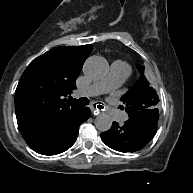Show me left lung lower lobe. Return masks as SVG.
Segmentation results:
<instances>
[{"mask_svg": "<svg viewBox=\"0 0 193 193\" xmlns=\"http://www.w3.org/2000/svg\"><path fill=\"white\" fill-rule=\"evenodd\" d=\"M158 112H137L119 126L113 122L112 127L101 134L102 141L110 148L120 152H135L142 149L155 135Z\"/></svg>", "mask_w": 193, "mask_h": 193, "instance_id": "obj_1", "label": "left lung lower lobe"}]
</instances>
